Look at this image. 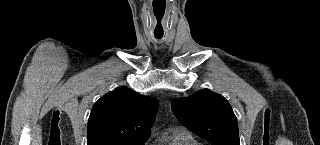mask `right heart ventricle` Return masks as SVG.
I'll return each instance as SVG.
<instances>
[{"label": "right heart ventricle", "mask_w": 320, "mask_h": 145, "mask_svg": "<svg viewBox=\"0 0 320 145\" xmlns=\"http://www.w3.org/2000/svg\"><path fill=\"white\" fill-rule=\"evenodd\" d=\"M164 145H200L197 139L186 130L173 131Z\"/></svg>", "instance_id": "e07e8e85"}]
</instances>
